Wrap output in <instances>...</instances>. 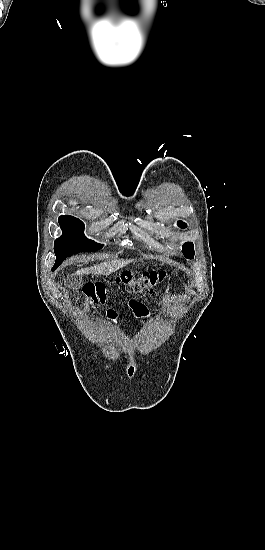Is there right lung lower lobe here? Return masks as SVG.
I'll return each mask as SVG.
<instances>
[{
    "label": "right lung lower lobe",
    "mask_w": 265,
    "mask_h": 550,
    "mask_svg": "<svg viewBox=\"0 0 265 550\" xmlns=\"http://www.w3.org/2000/svg\"><path fill=\"white\" fill-rule=\"evenodd\" d=\"M57 267H53L52 270H55Z\"/></svg>",
    "instance_id": "right-lung-lower-lobe-1"
}]
</instances>
